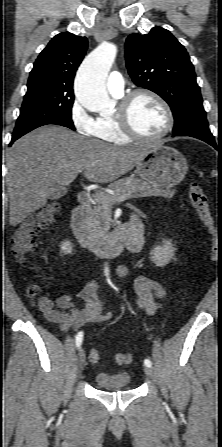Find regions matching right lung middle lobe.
<instances>
[{
  "label": "right lung middle lobe",
  "instance_id": "1",
  "mask_svg": "<svg viewBox=\"0 0 222 447\" xmlns=\"http://www.w3.org/2000/svg\"><path fill=\"white\" fill-rule=\"evenodd\" d=\"M73 102V93L60 92L47 85L28 88L12 137L19 138L47 124L75 130L72 122Z\"/></svg>",
  "mask_w": 222,
  "mask_h": 447
}]
</instances>
